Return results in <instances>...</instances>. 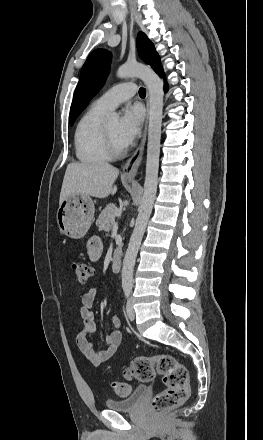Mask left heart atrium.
I'll return each instance as SVG.
<instances>
[{
    "label": "left heart atrium",
    "instance_id": "1",
    "mask_svg": "<svg viewBox=\"0 0 263 440\" xmlns=\"http://www.w3.org/2000/svg\"><path fill=\"white\" fill-rule=\"evenodd\" d=\"M144 120V113L138 106L124 110L118 125V136L123 145H130L139 135Z\"/></svg>",
    "mask_w": 263,
    "mask_h": 440
}]
</instances>
